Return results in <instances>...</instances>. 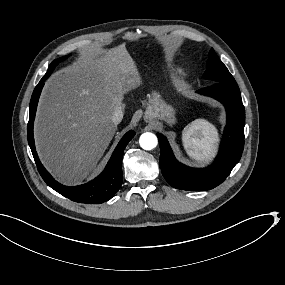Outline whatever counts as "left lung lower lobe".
<instances>
[{
  "mask_svg": "<svg viewBox=\"0 0 285 285\" xmlns=\"http://www.w3.org/2000/svg\"><path fill=\"white\" fill-rule=\"evenodd\" d=\"M224 104L227 125L220 151L214 163L203 169L187 167L176 160L167 139L157 133L160 145V166L167 182L181 190L205 191L221 184L241 158L244 148L245 111L236 82H215L198 90Z\"/></svg>",
  "mask_w": 285,
  "mask_h": 285,
  "instance_id": "obj_1",
  "label": "left lung lower lobe"
}]
</instances>
